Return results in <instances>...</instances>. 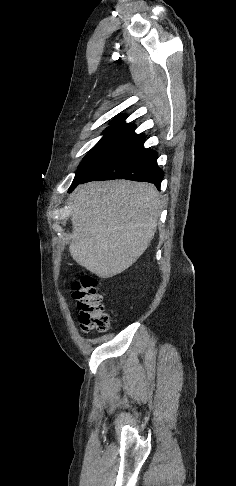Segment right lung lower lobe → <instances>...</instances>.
I'll return each mask as SVG.
<instances>
[{"instance_id":"1","label":"right lung lower lobe","mask_w":236,"mask_h":486,"mask_svg":"<svg viewBox=\"0 0 236 486\" xmlns=\"http://www.w3.org/2000/svg\"><path fill=\"white\" fill-rule=\"evenodd\" d=\"M144 140L143 134L136 135L79 184L94 180L127 179L154 183L159 188L164 174L157 165V152L145 149Z\"/></svg>"}]
</instances>
